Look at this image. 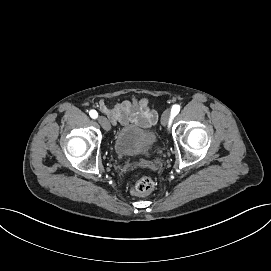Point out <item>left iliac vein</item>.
Wrapping results in <instances>:
<instances>
[{
  "instance_id": "1",
  "label": "left iliac vein",
  "mask_w": 271,
  "mask_h": 271,
  "mask_svg": "<svg viewBox=\"0 0 271 271\" xmlns=\"http://www.w3.org/2000/svg\"><path fill=\"white\" fill-rule=\"evenodd\" d=\"M170 118H171V111L167 109L163 112L162 117H161L162 125H167Z\"/></svg>"
}]
</instances>
